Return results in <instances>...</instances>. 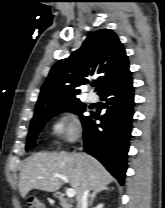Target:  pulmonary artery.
I'll list each match as a JSON object with an SVG mask.
<instances>
[{"instance_id":"e3ab8cb5","label":"pulmonary artery","mask_w":165,"mask_h":208,"mask_svg":"<svg viewBox=\"0 0 165 208\" xmlns=\"http://www.w3.org/2000/svg\"><path fill=\"white\" fill-rule=\"evenodd\" d=\"M87 101L90 103H96L97 102V96L93 93L88 94Z\"/></svg>"}]
</instances>
